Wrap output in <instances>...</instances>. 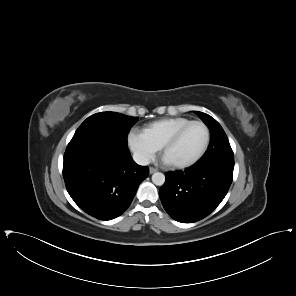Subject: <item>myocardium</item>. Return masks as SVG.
I'll use <instances>...</instances> for the list:
<instances>
[{
	"instance_id": "f54148a6",
	"label": "myocardium",
	"mask_w": 296,
	"mask_h": 296,
	"mask_svg": "<svg viewBox=\"0 0 296 296\" xmlns=\"http://www.w3.org/2000/svg\"><path fill=\"white\" fill-rule=\"evenodd\" d=\"M192 125H200L204 128L205 131V141L204 144L201 148V150L191 159L186 160V161H182V162H177V163H169V165L175 167V168H185V167H189L193 164H195L196 162H198L206 153V150L208 148L209 145V141H210V131L208 129V127L202 122V121H190L187 124H185L184 126H182L181 128H179L177 131H175L163 144L162 146V155L163 157L165 156L166 151L169 149L170 146H172L180 137V135L190 126Z\"/></svg>"
}]
</instances>
